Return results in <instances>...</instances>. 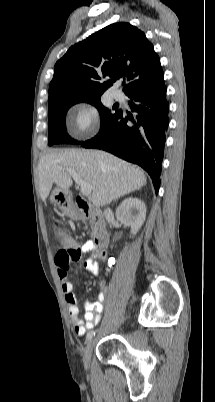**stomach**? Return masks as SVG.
<instances>
[{
    "instance_id": "0dacf381",
    "label": "stomach",
    "mask_w": 215,
    "mask_h": 402,
    "mask_svg": "<svg viewBox=\"0 0 215 402\" xmlns=\"http://www.w3.org/2000/svg\"><path fill=\"white\" fill-rule=\"evenodd\" d=\"M50 200L53 204L57 205L63 213L70 214L72 211L71 196L68 190L55 188L51 193Z\"/></svg>"
}]
</instances>
